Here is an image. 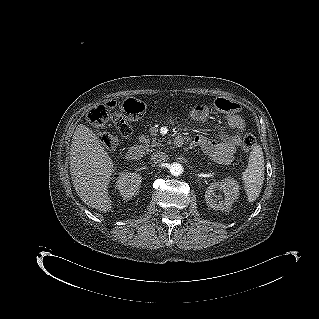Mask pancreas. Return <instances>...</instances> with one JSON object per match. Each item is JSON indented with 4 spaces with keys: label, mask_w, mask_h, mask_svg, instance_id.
<instances>
[{
    "label": "pancreas",
    "mask_w": 319,
    "mask_h": 319,
    "mask_svg": "<svg viewBox=\"0 0 319 319\" xmlns=\"http://www.w3.org/2000/svg\"><path fill=\"white\" fill-rule=\"evenodd\" d=\"M139 141L141 142V143H143V148L145 149V150H150V149H152V145H149L150 144V138L149 137H146L145 135H141L140 137H139Z\"/></svg>",
    "instance_id": "1"
}]
</instances>
